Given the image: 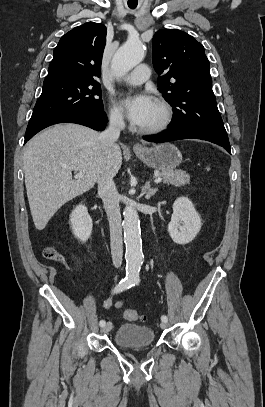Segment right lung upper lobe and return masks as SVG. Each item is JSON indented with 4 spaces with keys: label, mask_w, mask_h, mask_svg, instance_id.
I'll list each match as a JSON object with an SVG mask.
<instances>
[{
    "label": "right lung upper lobe",
    "mask_w": 265,
    "mask_h": 407,
    "mask_svg": "<svg viewBox=\"0 0 265 407\" xmlns=\"http://www.w3.org/2000/svg\"><path fill=\"white\" fill-rule=\"evenodd\" d=\"M106 32L103 24L88 22L62 36L54 49L46 78H99Z\"/></svg>",
    "instance_id": "cb5924a9"
}]
</instances>
